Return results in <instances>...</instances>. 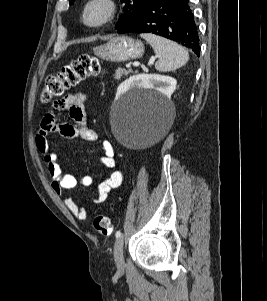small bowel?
I'll return each mask as SVG.
<instances>
[{
    "mask_svg": "<svg viewBox=\"0 0 267 301\" xmlns=\"http://www.w3.org/2000/svg\"><path fill=\"white\" fill-rule=\"evenodd\" d=\"M86 100L87 95L84 92H76L56 101L53 107L45 113L36 136V146L43 156L52 188L58 195H62L76 186L88 187L93 183L90 175L75 177L72 174L63 173L57 162V153L48 141L50 134H59L68 139L80 137L90 142L98 140L97 134L89 127L87 122L85 113ZM60 111H67L70 122L59 121L58 114ZM102 148L103 152L99 157L102 165L107 169H115L116 161L111 143L106 140L103 141ZM123 179V172L119 169L114 170L98 185L97 196L94 198V202L97 204L104 202L109 192L119 187ZM64 202L68 210L77 219L86 220L88 218L86 209L79 206L71 197H65Z\"/></svg>",
    "mask_w": 267,
    "mask_h": 301,
    "instance_id": "c3829d8e",
    "label": "small bowel"
}]
</instances>
